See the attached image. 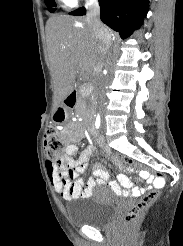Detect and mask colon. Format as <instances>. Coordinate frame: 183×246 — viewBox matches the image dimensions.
Instances as JSON below:
<instances>
[{
  "label": "colon",
  "instance_id": "1",
  "mask_svg": "<svg viewBox=\"0 0 183 246\" xmlns=\"http://www.w3.org/2000/svg\"><path fill=\"white\" fill-rule=\"evenodd\" d=\"M59 117L63 118L64 113L60 112ZM62 147L63 142L58 130L54 126H49L44 137V148L48 161L58 166L64 164L65 158L61 155ZM115 156L118 157V160H121V162H125V165H130L131 167H136L137 169H143L144 172H152V174L155 175L161 174V170H154L153 167H147L144 162H136V160H133V158L129 157V155H120L119 152H116ZM161 175L162 178L160 180L166 182L168 175ZM159 186L156 188H159ZM158 197V189H154L142 196L134 207L122 214L118 228L120 229L122 227L133 225L139 219L141 214L146 211L158 199Z\"/></svg>",
  "mask_w": 183,
  "mask_h": 246
}]
</instances>
